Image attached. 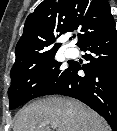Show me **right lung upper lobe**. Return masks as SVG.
<instances>
[{"instance_id": "1", "label": "right lung upper lobe", "mask_w": 117, "mask_h": 131, "mask_svg": "<svg viewBox=\"0 0 117 131\" xmlns=\"http://www.w3.org/2000/svg\"><path fill=\"white\" fill-rule=\"evenodd\" d=\"M114 26L107 0H44L26 19L12 69L56 53L61 45L56 39L66 32L80 31L76 44L80 47Z\"/></svg>"}]
</instances>
